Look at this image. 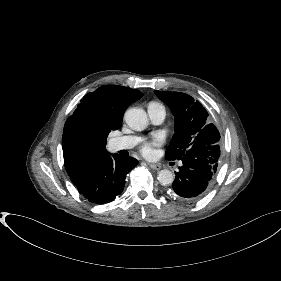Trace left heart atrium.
I'll return each mask as SVG.
<instances>
[{
	"mask_svg": "<svg viewBox=\"0 0 281 281\" xmlns=\"http://www.w3.org/2000/svg\"><path fill=\"white\" fill-rule=\"evenodd\" d=\"M157 143H151L147 144L142 148V152L146 156H151L153 155V146H155Z\"/></svg>",
	"mask_w": 281,
	"mask_h": 281,
	"instance_id": "1",
	"label": "left heart atrium"
}]
</instances>
